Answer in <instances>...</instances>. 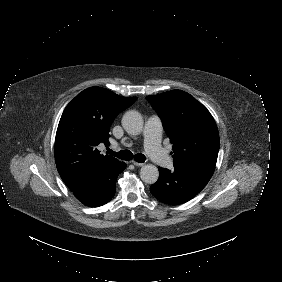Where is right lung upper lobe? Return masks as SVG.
<instances>
[{"label":"right lung upper lobe","mask_w":282,"mask_h":282,"mask_svg":"<svg viewBox=\"0 0 282 282\" xmlns=\"http://www.w3.org/2000/svg\"><path fill=\"white\" fill-rule=\"evenodd\" d=\"M137 97H122L114 92L90 87L79 93L65 108L55 138L58 172L73 191L92 174L120 164L102 155L97 146L108 143L115 117L132 105Z\"/></svg>","instance_id":"right-lung-upper-lobe-1"}]
</instances>
